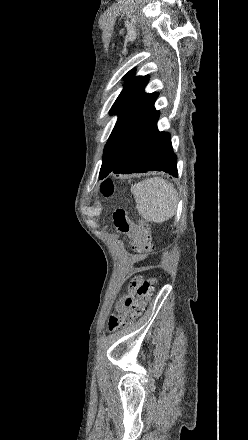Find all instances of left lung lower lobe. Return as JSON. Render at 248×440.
<instances>
[{"mask_svg": "<svg viewBox=\"0 0 248 440\" xmlns=\"http://www.w3.org/2000/svg\"><path fill=\"white\" fill-rule=\"evenodd\" d=\"M164 171L174 177L177 173V157L173 153L170 134L159 132L131 148L112 171L115 174Z\"/></svg>", "mask_w": 248, "mask_h": 440, "instance_id": "obj_1", "label": "left lung lower lobe"}]
</instances>
